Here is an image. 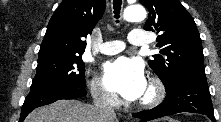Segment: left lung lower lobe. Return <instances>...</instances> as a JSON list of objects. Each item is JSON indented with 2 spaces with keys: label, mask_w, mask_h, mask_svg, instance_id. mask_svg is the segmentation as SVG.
Segmentation results:
<instances>
[{
  "label": "left lung lower lobe",
  "mask_w": 221,
  "mask_h": 122,
  "mask_svg": "<svg viewBox=\"0 0 221 122\" xmlns=\"http://www.w3.org/2000/svg\"><path fill=\"white\" fill-rule=\"evenodd\" d=\"M180 112L205 114L215 122L206 78L188 77L177 81L166 88V97L160 105L132 116L145 122Z\"/></svg>",
  "instance_id": "obj_1"
}]
</instances>
